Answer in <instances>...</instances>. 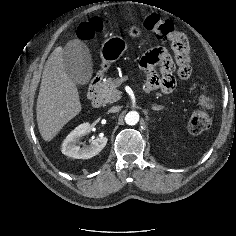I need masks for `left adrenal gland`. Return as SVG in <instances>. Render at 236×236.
<instances>
[{
  "label": "left adrenal gland",
  "mask_w": 236,
  "mask_h": 236,
  "mask_svg": "<svg viewBox=\"0 0 236 236\" xmlns=\"http://www.w3.org/2000/svg\"><path fill=\"white\" fill-rule=\"evenodd\" d=\"M152 109L154 111H159V110L163 109V107L162 106H153Z\"/></svg>",
  "instance_id": "a2214340"
}]
</instances>
